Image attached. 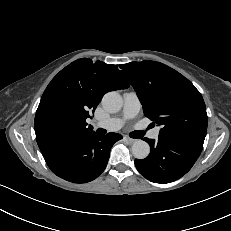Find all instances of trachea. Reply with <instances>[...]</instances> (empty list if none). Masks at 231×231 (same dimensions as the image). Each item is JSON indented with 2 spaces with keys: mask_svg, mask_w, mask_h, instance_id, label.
Masks as SVG:
<instances>
[{
  "mask_svg": "<svg viewBox=\"0 0 231 231\" xmlns=\"http://www.w3.org/2000/svg\"><path fill=\"white\" fill-rule=\"evenodd\" d=\"M144 134H145L144 131H134V132H131V133H130V136H131L132 138L138 139V138L143 137Z\"/></svg>",
  "mask_w": 231,
  "mask_h": 231,
  "instance_id": "3493384b",
  "label": "trachea"
}]
</instances>
